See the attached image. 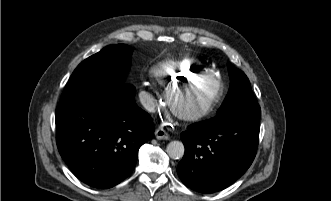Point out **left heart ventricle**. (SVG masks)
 <instances>
[{
    "label": "left heart ventricle",
    "instance_id": "b2bd125f",
    "mask_svg": "<svg viewBox=\"0 0 331 201\" xmlns=\"http://www.w3.org/2000/svg\"><path fill=\"white\" fill-rule=\"evenodd\" d=\"M214 86L215 84L212 80L190 83L174 92V103L182 110H192L198 107L211 94Z\"/></svg>",
    "mask_w": 331,
    "mask_h": 201
}]
</instances>
